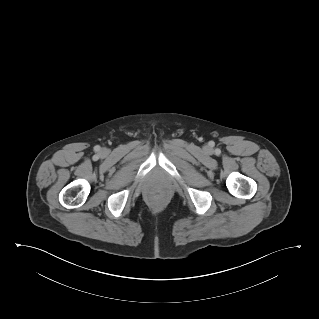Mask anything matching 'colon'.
Segmentation results:
<instances>
[{
	"label": "colon",
	"instance_id": "colon-1",
	"mask_svg": "<svg viewBox=\"0 0 319 319\" xmlns=\"http://www.w3.org/2000/svg\"><path fill=\"white\" fill-rule=\"evenodd\" d=\"M154 198L158 199L161 197V193L160 192H155L153 195Z\"/></svg>",
	"mask_w": 319,
	"mask_h": 319
}]
</instances>
